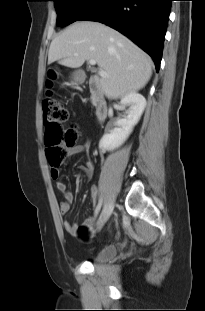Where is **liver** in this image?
Here are the masks:
<instances>
[{
  "mask_svg": "<svg viewBox=\"0 0 205 311\" xmlns=\"http://www.w3.org/2000/svg\"><path fill=\"white\" fill-rule=\"evenodd\" d=\"M89 60L107 73L96 76L95 81L109 99L142 89L152 75L151 58L127 37L99 22H75L52 40L48 64L58 61L79 68Z\"/></svg>",
  "mask_w": 205,
  "mask_h": 311,
  "instance_id": "liver-1",
  "label": "liver"
}]
</instances>
